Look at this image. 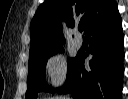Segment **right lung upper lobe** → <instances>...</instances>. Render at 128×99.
<instances>
[{"label": "right lung upper lobe", "instance_id": "1", "mask_svg": "<svg viewBox=\"0 0 128 99\" xmlns=\"http://www.w3.org/2000/svg\"><path fill=\"white\" fill-rule=\"evenodd\" d=\"M115 5V0H46L39 6L30 25L29 58L62 48L61 44H65L62 20L73 27L74 19L79 17L87 32Z\"/></svg>", "mask_w": 128, "mask_h": 99}]
</instances>
